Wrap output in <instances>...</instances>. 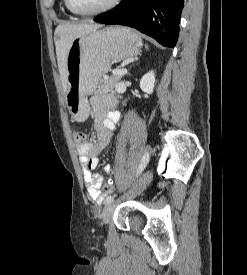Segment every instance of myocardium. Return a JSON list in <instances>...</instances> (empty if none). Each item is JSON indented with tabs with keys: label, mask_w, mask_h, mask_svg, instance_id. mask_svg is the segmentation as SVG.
<instances>
[{
	"label": "myocardium",
	"mask_w": 247,
	"mask_h": 275,
	"mask_svg": "<svg viewBox=\"0 0 247 275\" xmlns=\"http://www.w3.org/2000/svg\"><path fill=\"white\" fill-rule=\"evenodd\" d=\"M65 5L67 7V9L72 12L75 15H79V16H93V15H98V14H102L105 13L107 11L112 10L113 8H115L118 3L120 2V0H110L107 4H105L104 6L92 10V11H78L76 9H74L69 0H64Z\"/></svg>",
	"instance_id": "f54148a6"
}]
</instances>
